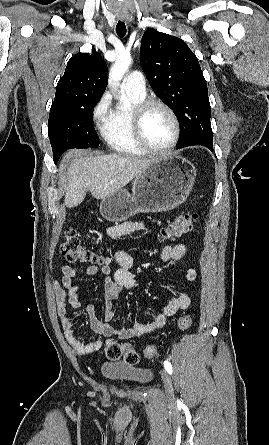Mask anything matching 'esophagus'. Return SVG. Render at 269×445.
<instances>
[{
  "label": "esophagus",
  "instance_id": "34e87169",
  "mask_svg": "<svg viewBox=\"0 0 269 445\" xmlns=\"http://www.w3.org/2000/svg\"><path fill=\"white\" fill-rule=\"evenodd\" d=\"M120 18L124 19V20H128V17L126 15H122V16H120Z\"/></svg>",
  "mask_w": 269,
  "mask_h": 445
}]
</instances>
